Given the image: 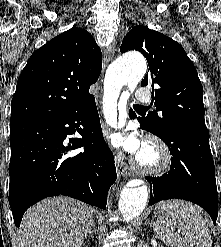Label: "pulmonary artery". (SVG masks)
I'll list each match as a JSON object with an SVG mask.
<instances>
[{"label": "pulmonary artery", "mask_w": 221, "mask_h": 247, "mask_svg": "<svg viewBox=\"0 0 221 247\" xmlns=\"http://www.w3.org/2000/svg\"><path fill=\"white\" fill-rule=\"evenodd\" d=\"M135 97L143 102H149L151 99V95L147 90H138L135 93Z\"/></svg>", "instance_id": "e3ab8cb5"}]
</instances>
